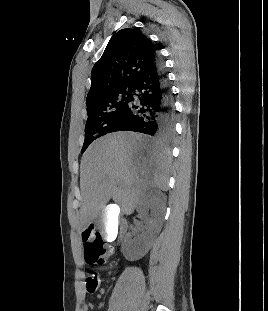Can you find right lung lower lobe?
Here are the masks:
<instances>
[{
	"label": "right lung lower lobe",
	"mask_w": 268,
	"mask_h": 311,
	"mask_svg": "<svg viewBox=\"0 0 268 311\" xmlns=\"http://www.w3.org/2000/svg\"><path fill=\"white\" fill-rule=\"evenodd\" d=\"M131 88L129 104L109 133L134 131L170 140L175 130V110L164 65L158 55L152 67Z\"/></svg>",
	"instance_id": "1"
}]
</instances>
